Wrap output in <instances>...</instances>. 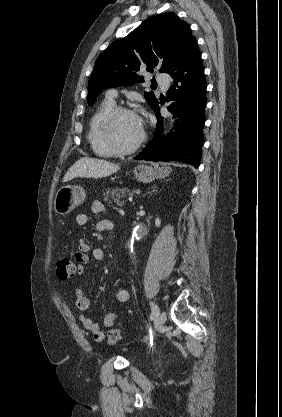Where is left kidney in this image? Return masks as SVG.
<instances>
[{
  "mask_svg": "<svg viewBox=\"0 0 282 417\" xmlns=\"http://www.w3.org/2000/svg\"><path fill=\"white\" fill-rule=\"evenodd\" d=\"M156 227H161V219H155Z\"/></svg>",
  "mask_w": 282,
  "mask_h": 417,
  "instance_id": "5707ae66",
  "label": "left kidney"
}]
</instances>
